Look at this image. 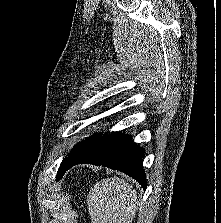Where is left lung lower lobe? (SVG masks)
Listing matches in <instances>:
<instances>
[{
	"mask_svg": "<svg viewBox=\"0 0 221 223\" xmlns=\"http://www.w3.org/2000/svg\"><path fill=\"white\" fill-rule=\"evenodd\" d=\"M143 148L133 143L129 135L120 132L100 135L87 149L69 163L67 170L77 164L105 166L126 173L145 189Z\"/></svg>",
	"mask_w": 221,
	"mask_h": 223,
	"instance_id": "left-lung-lower-lobe-1",
	"label": "left lung lower lobe"
}]
</instances>
